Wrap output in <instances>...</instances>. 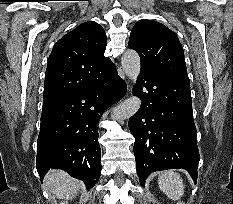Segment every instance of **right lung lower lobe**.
I'll use <instances>...</instances> for the list:
<instances>
[{
	"instance_id": "right-lung-lower-lobe-1",
	"label": "right lung lower lobe",
	"mask_w": 233,
	"mask_h": 204,
	"mask_svg": "<svg viewBox=\"0 0 233 204\" xmlns=\"http://www.w3.org/2000/svg\"><path fill=\"white\" fill-rule=\"evenodd\" d=\"M127 87L112 65L95 83L43 106L36 168L41 181L49 169H62L92 188L101 175L99 122L124 97Z\"/></svg>"
}]
</instances>
